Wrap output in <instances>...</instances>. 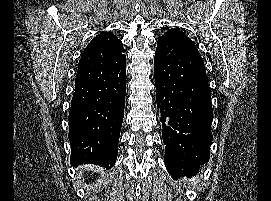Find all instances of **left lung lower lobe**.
Returning a JSON list of instances; mask_svg holds the SVG:
<instances>
[{
	"label": "left lung lower lobe",
	"instance_id": "obj_1",
	"mask_svg": "<svg viewBox=\"0 0 271 201\" xmlns=\"http://www.w3.org/2000/svg\"><path fill=\"white\" fill-rule=\"evenodd\" d=\"M154 73L165 166L173 178L190 177L208 162L212 142L213 109L204 61L179 30L158 40Z\"/></svg>",
	"mask_w": 271,
	"mask_h": 201
}]
</instances>
